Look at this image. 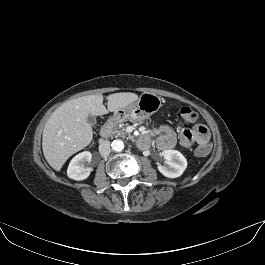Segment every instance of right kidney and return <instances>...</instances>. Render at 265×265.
Returning <instances> with one entry per match:
<instances>
[{"label": "right kidney", "mask_w": 265, "mask_h": 265, "mask_svg": "<svg viewBox=\"0 0 265 265\" xmlns=\"http://www.w3.org/2000/svg\"><path fill=\"white\" fill-rule=\"evenodd\" d=\"M92 154L89 151H84L77 154L70 162L67 175L74 180H85L89 177L91 168L86 164L91 162Z\"/></svg>", "instance_id": "ca27d5eb"}]
</instances>
